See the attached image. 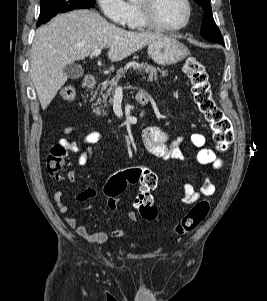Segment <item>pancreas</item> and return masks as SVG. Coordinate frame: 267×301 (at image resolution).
I'll use <instances>...</instances> for the list:
<instances>
[{"instance_id": "cf45deb5", "label": "pancreas", "mask_w": 267, "mask_h": 301, "mask_svg": "<svg viewBox=\"0 0 267 301\" xmlns=\"http://www.w3.org/2000/svg\"><path fill=\"white\" fill-rule=\"evenodd\" d=\"M132 67L135 71L137 72H143L144 74L149 73L148 76V80L149 81H153L158 79V74L160 73L163 77L167 76V70H163L162 68L159 67H154L153 65H150L148 63H138V62H130L128 63L124 68H120L115 77H113L110 81H105L103 83H101V85L99 86V92L95 91L93 94V98H96V96H99L97 101L93 104L94 106H96V108L94 109V112H96L97 114H103L105 115V111L103 109H101L100 105L103 103L104 106H107V99L108 97H110L116 87L117 84L120 80V78L125 75V73L127 72V70ZM99 106V107H97Z\"/></svg>"}]
</instances>
